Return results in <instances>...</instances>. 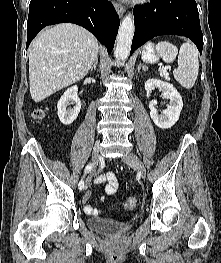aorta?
<instances>
[{
  "label": "aorta",
  "mask_w": 221,
  "mask_h": 263,
  "mask_svg": "<svg viewBox=\"0 0 221 263\" xmlns=\"http://www.w3.org/2000/svg\"><path fill=\"white\" fill-rule=\"evenodd\" d=\"M134 29L133 15L129 13L123 18L119 27L114 52L116 59L123 61L129 56Z\"/></svg>",
  "instance_id": "aorta-1"
}]
</instances>
